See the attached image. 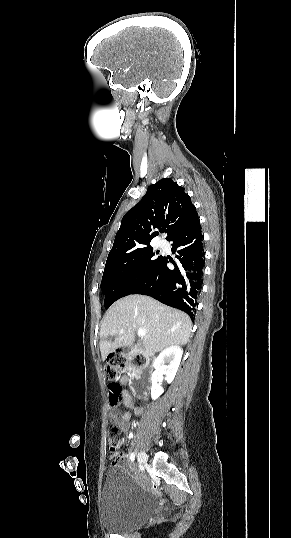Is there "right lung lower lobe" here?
I'll list each match as a JSON object with an SVG mask.
<instances>
[{
	"label": "right lung lower lobe",
	"instance_id": "obj_1",
	"mask_svg": "<svg viewBox=\"0 0 291 538\" xmlns=\"http://www.w3.org/2000/svg\"><path fill=\"white\" fill-rule=\"evenodd\" d=\"M168 241L173 242L172 251L177 252L178 263L162 256L148 277L132 294L151 296L186 312L193 319L202 288L205 262L200 222ZM169 261L173 263L174 269L167 267Z\"/></svg>",
	"mask_w": 291,
	"mask_h": 538
}]
</instances>
